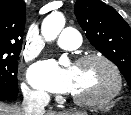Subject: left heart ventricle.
<instances>
[{
    "label": "left heart ventricle",
    "instance_id": "b2bd125f",
    "mask_svg": "<svg viewBox=\"0 0 131 115\" xmlns=\"http://www.w3.org/2000/svg\"><path fill=\"white\" fill-rule=\"evenodd\" d=\"M74 73L73 95L79 98H101L114 87L115 80L110 68L93 60L71 68Z\"/></svg>",
    "mask_w": 131,
    "mask_h": 115
}]
</instances>
